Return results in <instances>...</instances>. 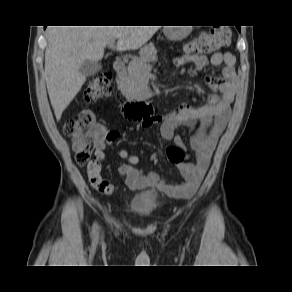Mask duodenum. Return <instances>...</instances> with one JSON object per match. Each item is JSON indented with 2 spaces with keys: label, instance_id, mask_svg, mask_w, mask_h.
<instances>
[{
  "label": "duodenum",
  "instance_id": "duodenum-1",
  "mask_svg": "<svg viewBox=\"0 0 292 292\" xmlns=\"http://www.w3.org/2000/svg\"><path fill=\"white\" fill-rule=\"evenodd\" d=\"M113 68L119 78L125 73L126 60L117 58L113 63ZM123 111L125 115L131 119H152L154 114V106L148 101H131L126 100L123 102Z\"/></svg>",
  "mask_w": 292,
  "mask_h": 292
}]
</instances>
